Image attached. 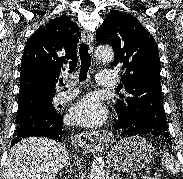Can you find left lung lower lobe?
I'll return each instance as SVG.
<instances>
[{
    "instance_id": "left-lung-lower-lobe-1",
    "label": "left lung lower lobe",
    "mask_w": 183,
    "mask_h": 179,
    "mask_svg": "<svg viewBox=\"0 0 183 179\" xmlns=\"http://www.w3.org/2000/svg\"><path fill=\"white\" fill-rule=\"evenodd\" d=\"M116 124L118 129L120 130V136L122 138L133 136L136 134H150V135L160 136L171 142V138L169 137V133L167 131H158L155 129H150L143 125H137L122 117H119Z\"/></svg>"
}]
</instances>
